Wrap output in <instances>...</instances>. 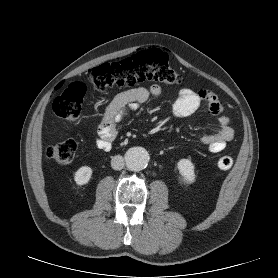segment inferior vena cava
<instances>
[{
  "label": "inferior vena cava",
  "mask_w": 278,
  "mask_h": 278,
  "mask_svg": "<svg viewBox=\"0 0 278 278\" xmlns=\"http://www.w3.org/2000/svg\"><path fill=\"white\" fill-rule=\"evenodd\" d=\"M111 167L114 170H121L124 167V158L120 155H116L111 160Z\"/></svg>",
  "instance_id": "inferior-vena-cava-1"
}]
</instances>
